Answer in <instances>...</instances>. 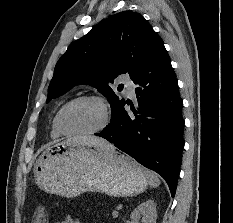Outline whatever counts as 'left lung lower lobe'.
<instances>
[{
    "label": "left lung lower lobe",
    "instance_id": "left-lung-lower-lobe-1",
    "mask_svg": "<svg viewBox=\"0 0 233 223\" xmlns=\"http://www.w3.org/2000/svg\"><path fill=\"white\" fill-rule=\"evenodd\" d=\"M137 107L124 105L97 133L140 164L160 174L175 195L184 146L183 101L176 75L161 38L133 79Z\"/></svg>",
    "mask_w": 233,
    "mask_h": 223
}]
</instances>
